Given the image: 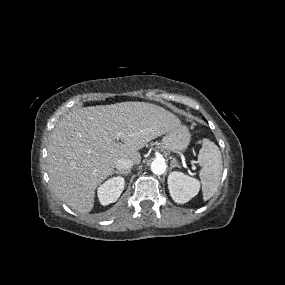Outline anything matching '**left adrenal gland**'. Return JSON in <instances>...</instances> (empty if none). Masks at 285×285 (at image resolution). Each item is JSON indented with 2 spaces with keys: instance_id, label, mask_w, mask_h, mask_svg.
<instances>
[{
  "instance_id": "1",
  "label": "left adrenal gland",
  "mask_w": 285,
  "mask_h": 285,
  "mask_svg": "<svg viewBox=\"0 0 285 285\" xmlns=\"http://www.w3.org/2000/svg\"><path fill=\"white\" fill-rule=\"evenodd\" d=\"M174 167L180 168V165L177 163L175 158L172 159L171 164H170V168L171 169L174 168Z\"/></svg>"
}]
</instances>
